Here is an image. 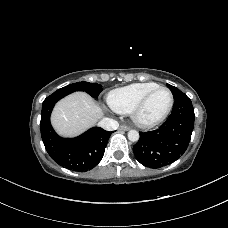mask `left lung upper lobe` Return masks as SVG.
I'll list each match as a JSON object with an SVG mask.
<instances>
[{
	"instance_id": "obj_1",
	"label": "left lung upper lobe",
	"mask_w": 228,
	"mask_h": 228,
	"mask_svg": "<svg viewBox=\"0 0 228 228\" xmlns=\"http://www.w3.org/2000/svg\"><path fill=\"white\" fill-rule=\"evenodd\" d=\"M167 87L171 90L173 96H174V100H176L177 98L185 95L183 92H181L178 88L170 85V84H167Z\"/></svg>"
}]
</instances>
